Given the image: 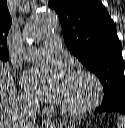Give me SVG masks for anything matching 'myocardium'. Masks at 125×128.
Here are the masks:
<instances>
[{
	"instance_id": "f54148a6",
	"label": "myocardium",
	"mask_w": 125,
	"mask_h": 128,
	"mask_svg": "<svg viewBox=\"0 0 125 128\" xmlns=\"http://www.w3.org/2000/svg\"><path fill=\"white\" fill-rule=\"evenodd\" d=\"M72 77L85 79L92 87V95L85 104L75 108L59 106V111L64 116L78 117L93 111L100 105L103 98V86L93 73L84 69L74 71Z\"/></svg>"
}]
</instances>
